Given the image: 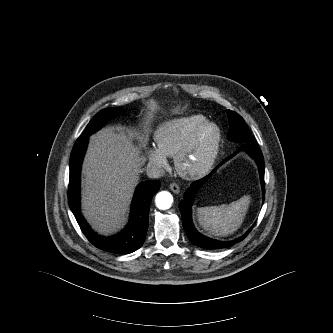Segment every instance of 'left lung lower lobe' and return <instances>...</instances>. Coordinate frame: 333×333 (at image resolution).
I'll return each mask as SVG.
<instances>
[{
    "label": "left lung lower lobe",
    "instance_id": "0a47b994",
    "mask_svg": "<svg viewBox=\"0 0 333 333\" xmlns=\"http://www.w3.org/2000/svg\"><path fill=\"white\" fill-rule=\"evenodd\" d=\"M239 150H244V151L248 152L257 162L258 167H259V172H260L263 193H264V190H265L264 189V159H263L262 153L256 146H253L252 144H244L243 146H241V148ZM233 156H234V154L231 155L230 157H228L227 159H225L223 162H225L226 160H228L229 158H231ZM207 178H208V176L193 182L191 184L190 188L185 192L184 199L179 203V209H180L181 215H182L183 227H184L190 241L199 247L206 248V249L226 248V247H229V246L237 243L238 241L243 240L246 237V235L251 231L252 228L249 229L244 236L237 238L235 240H232V241H218L215 239H211L209 237H206V236L200 234L195 229V227L192 223L191 206H192L193 198L195 196L197 189L206 181Z\"/></svg>",
    "mask_w": 333,
    "mask_h": 333
}]
</instances>
